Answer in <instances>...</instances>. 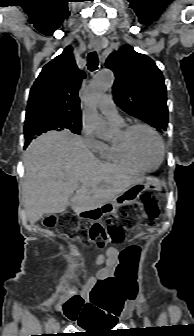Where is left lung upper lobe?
Listing matches in <instances>:
<instances>
[{
	"label": "left lung upper lobe",
	"instance_id": "5c2ea615",
	"mask_svg": "<svg viewBox=\"0 0 194 336\" xmlns=\"http://www.w3.org/2000/svg\"><path fill=\"white\" fill-rule=\"evenodd\" d=\"M106 67L115 73L113 94L116 104L158 131H166V86L155 62L148 56L135 52L130 45H124L108 57Z\"/></svg>",
	"mask_w": 194,
	"mask_h": 336
}]
</instances>
